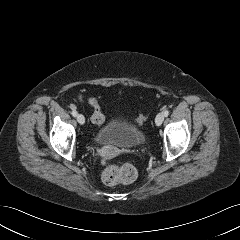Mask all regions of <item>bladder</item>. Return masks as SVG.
I'll return each instance as SVG.
<instances>
[{
  "mask_svg": "<svg viewBox=\"0 0 240 240\" xmlns=\"http://www.w3.org/2000/svg\"><path fill=\"white\" fill-rule=\"evenodd\" d=\"M145 140L144 131L127 122L115 119L103 126L96 135L98 143L121 148H134L143 144Z\"/></svg>",
  "mask_w": 240,
  "mask_h": 240,
  "instance_id": "1",
  "label": "bladder"
}]
</instances>
